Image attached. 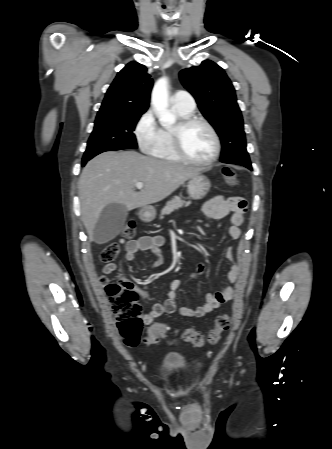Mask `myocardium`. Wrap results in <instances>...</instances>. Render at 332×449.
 <instances>
[{
    "instance_id": "obj_1",
    "label": "myocardium",
    "mask_w": 332,
    "mask_h": 449,
    "mask_svg": "<svg viewBox=\"0 0 332 449\" xmlns=\"http://www.w3.org/2000/svg\"><path fill=\"white\" fill-rule=\"evenodd\" d=\"M194 124H202L204 125L209 132L211 133L214 141V151L210 158L206 160H197L192 157H190L184 147L182 142V135L186 128H188L191 125ZM171 137H172V145L175 154L178 156V158L184 162L197 165V166H208L213 164L219 157L221 152V141L220 137L216 131V129L213 127V125L208 122L206 119L196 116H189L185 118H181L177 125L171 130Z\"/></svg>"
}]
</instances>
